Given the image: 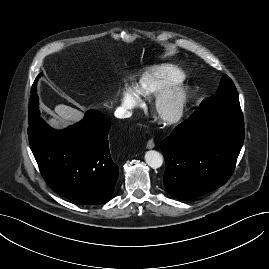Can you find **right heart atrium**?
I'll return each mask as SVG.
<instances>
[{
	"instance_id": "1",
	"label": "right heart atrium",
	"mask_w": 269,
	"mask_h": 269,
	"mask_svg": "<svg viewBox=\"0 0 269 269\" xmlns=\"http://www.w3.org/2000/svg\"><path fill=\"white\" fill-rule=\"evenodd\" d=\"M140 99L138 95L130 88H125L121 93L122 108L126 111L133 110L138 107Z\"/></svg>"
}]
</instances>
